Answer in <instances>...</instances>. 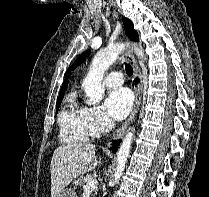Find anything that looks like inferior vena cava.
<instances>
[{
    "label": "inferior vena cava",
    "instance_id": "inferior-vena-cava-1",
    "mask_svg": "<svg viewBox=\"0 0 209 197\" xmlns=\"http://www.w3.org/2000/svg\"><path fill=\"white\" fill-rule=\"evenodd\" d=\"M114 127V121L110 118H107L106 121V132H109Z\"/></svg>",
    "mask_w": 209,
    "mask_h": 197
}]
</instances>
